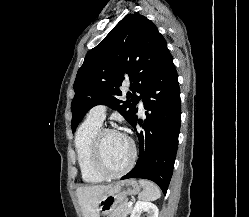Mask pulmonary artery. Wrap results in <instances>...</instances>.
I'll use <instances>...</instances> for the list:
<instances>
[{"instance_id": "1", "label": "pulmonary artery", "mask_w": 249, "mask_h": 217, "mask_svg": "<svg viewBox=\"0 0 249 217\" xmlns=\"http://www.w3.org/2000/svg\"><path fill=\"white\" fill-rule=\"evenodd\" d=\"M139 109L142 112L143 111V102L142 100L139 101ZM91 118L98 120L100 122H103L106 116V106L104 105H97L95 107H93L90 112L89 115Z\"/></svg>"}]
</instances>
